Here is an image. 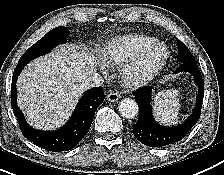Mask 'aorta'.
Returning <instances> with one entry per match:
<instances>
[{"label":"aorta","mask_w":224,"mask_h":175,"mask_svg":"<svg viewBox=\"0 0 224 175\" xmlns=\"http://www.w3.org/2000/svg\"><path fill=\"white\" fill-rule=\"evenodd\" d=\"M118 109L121 116L128 119L134 118L139 112L137 103L129 98L122 99L119 102Z\"/></svg>","instance_id":"762f6f07"}]
</instances>
